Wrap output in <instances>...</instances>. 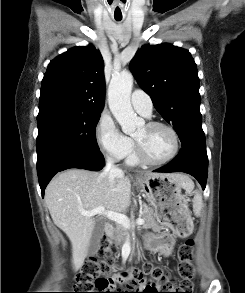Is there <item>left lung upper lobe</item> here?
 Returning <instances> with one entry per match:
<instances>
[{
  "label": "left lung upper lobe",
  "instance_id": "1",
  "mask_svg": "<svg viewBox=\"0 0 245 293\" xmlns=\"http://www.w3.org/2000/svg\"><path fill=\"white\" fill-rule=\"evenodd\" d=\"M130 69L156 110L173 125L182 146L206 147L197 66L189 51L167 43L146 45Z\"/></svg>",
  "mask_w": 245,
  "mask_h": 293
}]
</instances>
